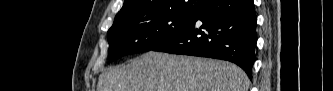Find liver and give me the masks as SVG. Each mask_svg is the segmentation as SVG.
I'll use <instances>...</instances> for the list:
<instances>
[{
  "instance_id": "obj_1",
  "label": "liver",
  "mask_w": 333,
  "mask_h": 91,
  "mask_svg": "<svg viewBox=\"0 0 333 91\" xmlns=\"http://www.w3.org/2000/svg\"><path fill=\"white\" fill-rule=\"evenodd\" d=\"M238 66L207 58L147 52L99 76L97 91H247Z\"/></svg>"
}]
</instances>
